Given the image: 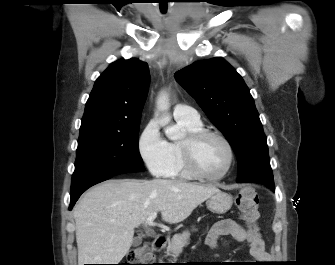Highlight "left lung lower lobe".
<instances>
[{
    "instance_id": "1",
    "label": "left lung lower lobe",
    "mask_w": 335,
    "mask_h": 265,
    "mask_svg": "<svg viewBox=\"0 0 335 265\" xmlns=\"http://www.w3.org/2000/svg\"><path fill=\"white\" fill-rule=\"evenodd\" d=\"M239 183H242V182H239ZM271 189L274 190V184L271 185Z\"/></svg>"
}]
</instances>
